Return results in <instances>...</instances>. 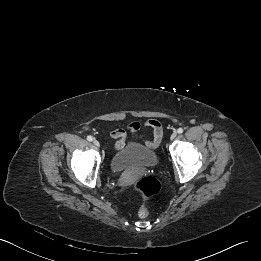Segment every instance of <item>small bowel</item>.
<instances>
[{
    "instance_id": "small-bowel-1",
    "label": "small bowel",
    "mask_w": 261,
    "mask_h": 261,
    "mask_svg": "<svg viewBox=\"0 0 261 261\" xmlns=\"http://www.w3.org/2000/svg\"><path fill=\"white\" fill-rule=\"evenodd\" d=\"M142 127L150 128L154 133L153 139H146L145 144L149 147L155 148L160 142L162 137V127L159 121L155 119H149L143 122L142 124L139 122H131L127 125V130H129L132 134H137ZM111 137L116 139L115 149L119 150L125 145L126 140V130L122 128L114 129L110 133Z\"/></svg>"
}]
</instances>
